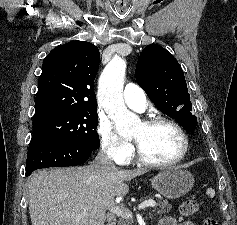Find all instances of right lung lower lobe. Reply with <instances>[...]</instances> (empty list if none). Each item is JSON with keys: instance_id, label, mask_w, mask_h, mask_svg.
<instances>
[{"instance_id": "98d812e1", "label": "right lung lower lobe", "mask_w": 237, "mask_h": 225, "mask_svg": "<svg viewBox=\"0 0 237 225\" xmlns=\"http://www.w3.org/2000/svg\"><path fill=\"white\" fill-rule=\"evenodd\" d=\"M92 151L93 149L62 138L33 134L28 148L26 176L40 168L83 164Z\"/></svg>"}]
</instances>
